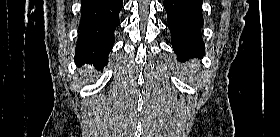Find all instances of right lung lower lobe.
Segmentation results:
<instances>
[{
	"mask_svg": "<svg viewBox=\"0 0 280 137\" xmlns=\"http://www.w3.org/2000/svg\"><path fill=\"white\" fill-rule=\"evenodd\" d=\"M81 29L75 61L104 66L114 44L123 0H82Z\"/></svg>",
	"mask_w": 280,
	"mask_h": 137,
	"instance_id": "right-lung-lower-lobe-1",
	"label": "right lung lower lobe"
}]
</instances>
